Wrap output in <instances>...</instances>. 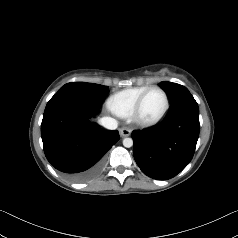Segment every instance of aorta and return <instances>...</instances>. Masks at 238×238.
I'll use <instances>...</instances> for the list:
<instances>
[{"instance_id": "1", "label": "aorta", "mask_w": 238, "mask_h": 238, "mask_svg": "<svg viewBox=\"0 0 238 238\" xmlns=\"http://www.w3.org/2000/svg\"><path fill=\"white\" fill-rule=\"evenodd\" d=\"M123 145H124V147H126V148L132 147V146H133V140H132V138H125V139L123 140Z\"/></svg>"}]
</instances>
